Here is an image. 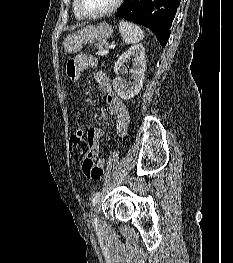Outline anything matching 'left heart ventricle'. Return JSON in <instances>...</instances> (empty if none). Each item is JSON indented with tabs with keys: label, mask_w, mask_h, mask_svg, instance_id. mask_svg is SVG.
<instances>
[{
	"label": "left heart ventricle",
	"mask_w": 233,
	"mask_h": 263,
	"mask_svg": "<svg viewBox=\"0 0 233 263\" xmlns=\"http://www.w3.org/2000/svg\"><path fill=\"white\" fill-rule=\"evenodd\" d=\"M115 0H81L85 12L94 14L109 8Z\"/></svg>",
	"instance_id": "obj_1"
}]
</instances>
